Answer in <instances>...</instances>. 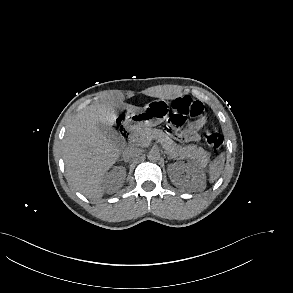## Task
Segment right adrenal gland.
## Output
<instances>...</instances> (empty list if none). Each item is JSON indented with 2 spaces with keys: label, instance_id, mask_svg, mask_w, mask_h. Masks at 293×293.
Here are the masks:
<instances>
[{
  "label": "right adrenal gland",
  "instance_id": "1",
  "mask_svg": "<svg viewBox=\"0 0 293 293\" xmlns=\"http://www.w3.org/2000/svg\"><path fill=\"white\" fill-rule=\"evenodd\" d=\"M120 161H124V162H126V163L129 162V160H127V159H121Z\"/></svg>",
  "mask_w": 293,
  "mask_h": 293
}]
</instances>
